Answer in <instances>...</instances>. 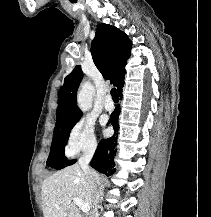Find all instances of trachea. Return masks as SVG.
<instances>
[{"instance_id": "trachea-1", "label": "trachea", "mask_w": 211, "mask_h": 217, "mask_svg": "<svg viewBox=\"0 0 211 217\" xmlns=\"http://www.w3.org/2000/svg\"><path fill=\"white\" fill-rule=\"evenodd\" d=\"M111 96H112V99H113L115 102L119 101V95H118V91H117L116 88H113V89L111 90Z\"/></svg>"}]
</instances>
